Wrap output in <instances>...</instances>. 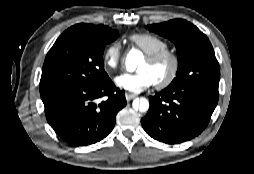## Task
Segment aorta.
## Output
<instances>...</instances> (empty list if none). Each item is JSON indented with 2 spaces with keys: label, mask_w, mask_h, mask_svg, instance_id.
Returning a JSON list of instances; mask_svg holds the SVG:
<instances>
[{
  "label": "aorta",
  "mask_w": 254,
  "mask_h": 174,
  "mask_svg": "<svg viewBox=\"0 0 254 174\" xmlns=\"http://www.w3.org/2000/svg\"><path fill=\"white\" fill-rule=\"evenodd\" d=\"M140 58L141 53L138 50L132 49L125 59L127 71L133 72L136 69L137 62ZM133 108L139 110L140 112H146L149 109V102L146 98L135 99L133 101Z\"/></svg>",
  "instance_id": "762f6f07"
}]
</instances>
